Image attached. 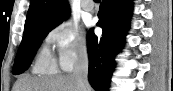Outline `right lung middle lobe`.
Masks as SVG:
<instances>
[{"mask_svg":"<svg viewBox=\"0 0 173 91\" xmlns=\"http://www.w3.org/2000/svg\"><path fill=\"white\" fill-rule=\"evenodd\" d=\"M63 21V20H62ZM62 21L55 25H43L27 32H24L19 51L13 66V74L23 73L30 65L36 50L41 44L42 40L54 27L59 25Z\"/></svg>","mask_w":173,"mask_h":91,"instance_id":"right-lung-middle-lobe-1","label":"right lung middle lobe"}]
</instances>
